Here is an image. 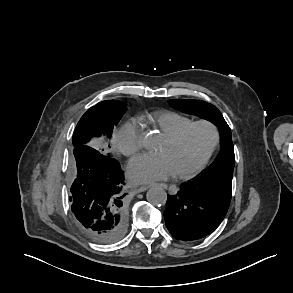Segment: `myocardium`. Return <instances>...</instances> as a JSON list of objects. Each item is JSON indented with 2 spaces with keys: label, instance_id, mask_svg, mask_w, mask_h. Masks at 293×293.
I'll use <instances>...</instances> for the list:
<instances>
[{
  "label": "myocardium",
  "instance_id": "f54148a6",
  "mask_svg": "<svg viewBox=\"0 0 293 293\" xmlns=\"http://www.w3.org/2000/svg\"><path fill=\"white\" fill-rule=\"evenodd\" d=\"M206 126L208 127L211 132H212V140L211 143L209 145V148L207 149V151L205 152L204 156L201 158V160L189 171L186 172H180V173H176V177L179 179H190L192 177H194L195 175H197L208 163V161L210 160L211 156L213 155L214 151L216 150L218 143H219V139H220V133H219V129L217 128V126L208 120H196V121H192L189 124L185 125L184 127H182L181 129H179L176 133L168 136L166 138V140L170 143H176L179 140L182 139V137L193 127L195 126Z\"/></svg>",
  "mask_w": 293,
  "mask_h": 293
}]
</instances>
